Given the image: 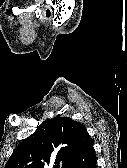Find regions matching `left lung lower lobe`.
I'll return each mask as SVG.
<instances>
[{
	"mask_svg": "<svg viewBox=\"0 0 127 168\" xmlns=\"http://www.w3.org/2000/svg\"><path fill=\"white\" fill-rule=\"evenodd\" d=\"M74 168H97L93 140L90 136L83 143Z\"/></svg>",
	"mask_w": 127,
	"mask_h": 168,
	"instance_id": "obj_1",
	"label": "left lung lower lobe"
}]
</instances>
